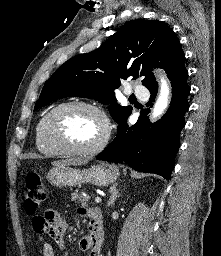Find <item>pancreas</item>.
<instances>
[{
  "label": "pancreas",
  "mask_w": 221,
  "mask_h": 256,
  "mask_svg": "<svg viewBox=\"0 0 221 256\" xmlns=\"http://www.w3.org/2000/svg\"><path fill=\"white\" fill-rule=\"evenodd\" d=\"M71 199L73 201H75V203H77V204L88 205L91 197L90 196H83L82 192L75 191L72 194Z\"/></svg>",
  "instance_id": "1"
}]
</instances>
